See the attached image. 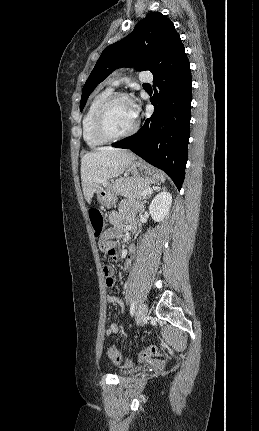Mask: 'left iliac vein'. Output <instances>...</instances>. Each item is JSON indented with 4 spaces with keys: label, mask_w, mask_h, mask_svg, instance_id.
Returning a JSON list of instances; mask_svg holds the SVG:
<instances>
[{
    "label": "left iliac vein",
    "mask_w": 259,
    "mask_h": 431,
    "mask_svg": "<svg viewBox=\"0 0 259 431\" xmlns=\"http://www.w3.org/2000/svg\"><path fill=\"white\" fill-rule=\"evenodd\" d=\"M147 313H148L147 304L141 303L138 307L137 315H136V321L138 324H141L145 320Z\"/></svg>",
    "instance_id": "left-iliac-vein-1"
}]
</instances>
